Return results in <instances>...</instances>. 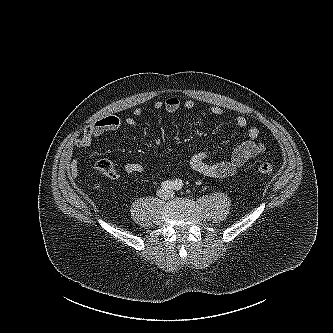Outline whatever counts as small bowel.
<instances>
[{"instance_id":"1","label":"small bowel","mask_w":333,"mask_h":333,"mask_svg":"<svg viewBox=\"0 0 333 333\" xmlns=\"http://www.w3.org/2000/svg\"><path fill=\"white\" fill-rule=\"evenodd\" d=\"M194 107L195 103L193 100L187 99L181 101L177 97H169L164 101H157L154 104L156 111L164 110L168 113H176L181 108L193 110ZM210 112L215 116H221L223 114V110L215 105L210 107ZM142 113L141 108H136L131 117L122 119L118 116L110 115L98 119L86 126L83 134L75 140L74 144L77 148L89 147L94 139L104 133L119 130L123 126H134L136 124V118L140 117ZM234 121L239 128L246 130L247 140L236 146L230 159L226 161L209 163L207 159L211 155L210 152L200 151L195 153L189 161V165L193 171L213 178L230 177L236 174L250 159L260 156L265 152L264 144L257 141L259 129L254 125H250L247 118L243 115H237ZM94 167L111 180H116L120 176L119 171L106 159H98L94 163ZM79 171L80 164L78 159H71L67 164L69 176L76 177ZM144 171V165L137 162L127 163L122 168V173L126 175L139 174Z\"/></svg>"}]
</instances>
